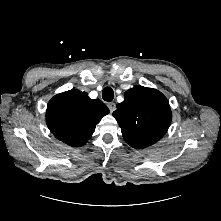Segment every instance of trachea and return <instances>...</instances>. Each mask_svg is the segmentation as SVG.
<instances>
[{"mask_svg": "<svg viewBox=\"0 0 221 221\" xmlns=\"http://www.w3.org/2000/svg\"><path fill=\"white\" fill-rule=\"evenodd\" d=\"M103 100L110 102L114 98V91L111 87H105L102 92Z\"/></svg>", "mask_w": 221, "mask_h": 221, "instance_id": "obj_1", "label": "trachea"}]
</instances>
